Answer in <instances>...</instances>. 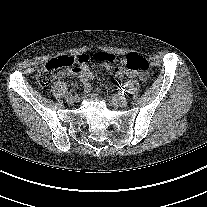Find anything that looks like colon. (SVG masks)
Masks as SVG:
<instances>
[{
	"label": "colon",
	"instance_id": "1",
	"mask_svg": "<svg viewBox=\"0 0 207 207\" xmlns=\"http://www.w3.org/2000/svg\"><path fill=\"white\" fill-rule=\"evenodd\" d=\"M99 61L105 63H113L118 61V57L109 53H94L82 55L78 60L69 55L59 56L56 59L49 61L45 67L39 71L36 76V82L40 87L49 86L54 80V71L59 69H70L71 71L77 69L76 64L82 62ZM126 68L136 73H146L149 69L148 60L136 53L127 55L125 62Z\"/></svg>",
	"mask_w": 207,
	"mask_h": 207
}]
</instances>
